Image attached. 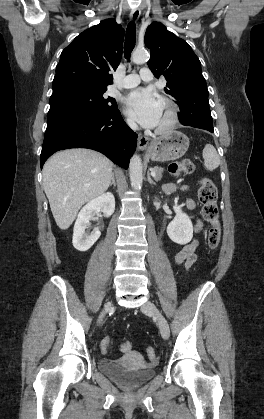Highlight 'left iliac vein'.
<instances>
[{
    "instance_id": "left-iliac-vein-1",
    "label": "left iliac vein",
    "mask_w": 264,
    "mask_h": 419,
    "mask_svg": "<svg viewBox=\"0 0 264 419\" xmlns=\"http://www.w3.org/2000/svg\"><path fill=\"white\" fill-rule=\"evenodd\" d=\"M141 310L146 313L150 314L157 320L161 335L164 339H168L170 335V329L167 320L165 317L161 314V312L158 310V308L155 306V304L151 301H146L142 307Z\"/></svg>"
}]
</instances>
